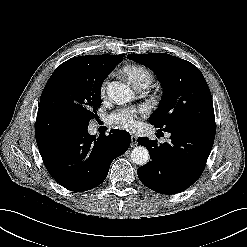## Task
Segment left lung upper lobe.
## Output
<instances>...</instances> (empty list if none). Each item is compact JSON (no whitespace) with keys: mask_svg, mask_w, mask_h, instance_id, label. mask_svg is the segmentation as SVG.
<instances>
[{"mask_svg":"<svg viewBox=\"0 0 247 247\" xmlns=\"http://www.w3.org/2000/svg\"><path fill=\"white\" fill-rule=\"evenodd\" d=\"M159 78L163 98L149 122L164 132L184 128L216 130L212 96L201 71L192 63L166 53L129 54Z\"/></svg>","mask_w":247,"mask_h":247,"instance_id":"1","label":"left lung upper lobe"}]
</instances>
